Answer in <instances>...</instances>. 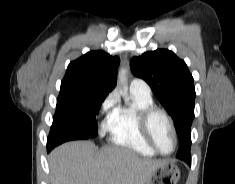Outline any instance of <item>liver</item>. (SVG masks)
Wrapping results in <instances>:
<instances>
[{"instance_id": "1", "label": "liver", "mask_w": 235, "mask_h": 184, "mask_svg": "<svg viewBox=\"0 0 235 184\" xmlns=\"http://www.w3.org/2000/svg\"><path fill=\"white\" fill-rule=\"evenodd\" d=\"M164 162L118 146L98 150L90 140L62 144L49 158L53 184H145Z\"/></svg>"}]
</instances>
